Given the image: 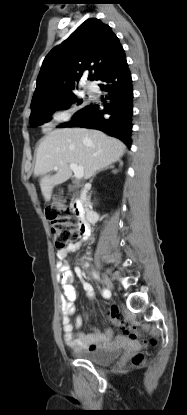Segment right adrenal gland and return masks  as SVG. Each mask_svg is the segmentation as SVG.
<instances>
[{
	"mask_svg": "<svg viewBox=\"0 0 187 415\" xmlns=\"http://www.w3.org/2000/svg\"><path fill=\"white\" fill-rule=\"evenodd\" d=\"M109 168H114V166L113 165H111V166H109V167H106L105 169H102L101 171H103V170H107V169H109ZM100 172V171H99ZM98 172V173H99Z\"/></svg>",
	"mask_w": 187,
	"mask_h": 415,
	"instance_id": "1",
	"label": "right adrenal gland"
}]
</instances>
